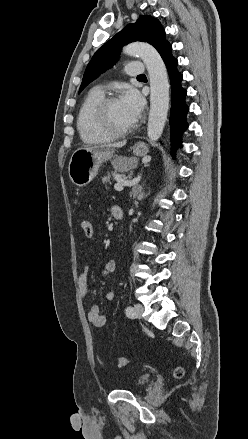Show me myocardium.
Listing matches in <instances>:
<instances>
[{
	"mask_svg": "<svg viewBox=\"0 0 248 439\" xmlns=\"http://www.w3.org/2000/svg\"><path fill=\"white\" fill-rule=\"evenodd\" d=\"M117 100H119V98L114 95L104 97L96 106L93 116L95 123L103 131L115 137H120L133 132L136 128V123H133L131 126L126 128H118L111 123L109 117V107Z\"/></svg>",
	"mask_w": 248,
	"mask_h": 439,
	"instance_id": "1",
	"label": "myocardium"
}]
</instances>
